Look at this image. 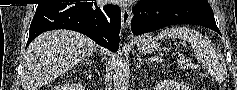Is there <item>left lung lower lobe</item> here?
Listing matches in <instances>:
<instances>
[{
	"instance_id": "0a47b994",
	"label": "left lung lower lobe",
	"mask_w": 237,
	"mask_h": 90,
	"mask_svg": "<svg viewBox=\"0 0 237 90\" xmlns=\"http://www.w3.org/2000/svg\"><path fill=\"white\" fill-rule=\"evenodd\" d=\"M132 12L131 27L136 36L175 24L205 26L220 34L210 7L181 0H141Z\"/></svg>"
}]
</instances>
